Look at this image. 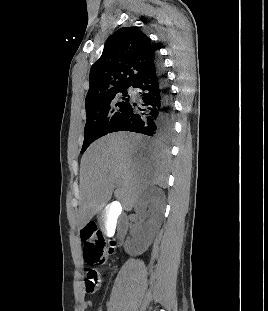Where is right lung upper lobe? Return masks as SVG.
<instances>
[{"mask_svg":"<svg viewBox=\"0 0 268 311\" xmlns=\"http://www.w3.org/2000/svg\"><path fill=\"white\" fill-rule=\"evenodd\" d=\"M157 48L142 31L123 27L112 34L90 70L86 109L113 92L130 87L154 63Z\"/></svg>","mask_w":268,"mask_h":311,"instance_id":"1","label":"right lung upper lobe"}]
</instances>
